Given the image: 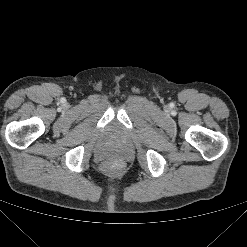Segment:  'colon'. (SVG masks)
Listing matches in <instances>:
<instances>
[{
  "instance_id": "colon-1",
  "label": "colon",
  "mask_w": 247,
  "mask_h": 247,
  "mask_svg": "<svg viewBox=\"0 0 247 247\" xmlns=\"http://www.w3.org/2000/svg\"><path fill=\"white\" fill-rule=\"evenodd\" d=\"M119 166V164L117 162H110L109 164H107V167L115 169Z\"/></svg>"
}]
</instances>
